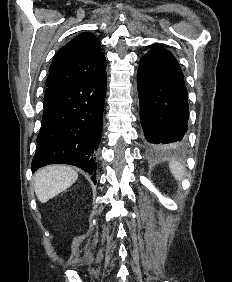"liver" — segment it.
Returning a JSON list of instances; mask_svg holds the SVG:
<instances>
[{
	"mask_svg": "<svg viewBox=\"0 0 232 282\" xmlns=\"http://www.w3.org/2000/svg\"><path fill=\"white\" fill-rule=\"evenodd\" d=\"M78 173L65 165L46 166L35 173L34 190L41 203L57 196L75 183Z\"/></svg>",
	"mask_w": 232,
	"mask_h": 282,
	"instance_id": "liver-1",
	"label": "liver"
}]
</instances>
